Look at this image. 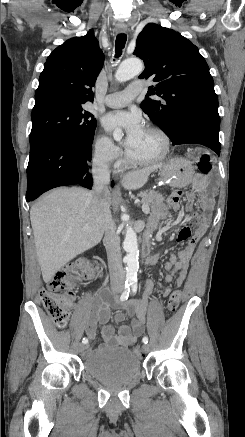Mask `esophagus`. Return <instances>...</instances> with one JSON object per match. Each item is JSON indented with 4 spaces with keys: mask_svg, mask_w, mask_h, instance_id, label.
I'll list each match as a JSON object with an SVG mask.
<instances>
[{
    "mask_svg": "<svg viewBox=\"0 0 245 437\" xmlns=\"http://www.w3.org/2000/svg\"><path fill=\"white\" fill-rule=\"evenodd\" d=\"M116 31L119 33H125L127 31V26L124 23H118L116 25Z\"/></svg>",
    "mask_w": 245,
    "mask_h": 437,
    "instance_id": "esophagus-1",
    "label": "esophagus"
}]
</instances>
